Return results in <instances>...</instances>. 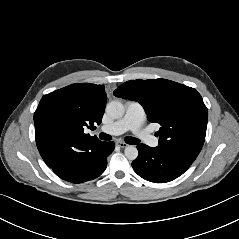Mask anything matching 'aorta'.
<instances>
[{"mask_svg": "<svg viewBox=\"0 0 239 239\" xmlns=\"http://www.w3.org/2000/svg\"><path fill=\"white\" fill-rule=\"evenodd\" d=\"M107 114L113 119H119L124 115L125 109L121 102L111 101L106 106ZM125 156L129 160H135L138 156V150L135 146H128L125 148Z\"/></svg>", "mask_w": 239, "mask_h": 239, "instance_id": "obj_1", "label": "aorta"}]
</instances>
